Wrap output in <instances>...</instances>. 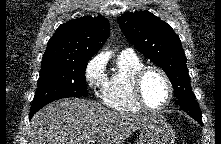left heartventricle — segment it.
<instances>
[{
	"label": "left heart ventricle",
	"mask_w": 221,
	"mask_h": 144,
	"mask_svg": "<svg viewBox=\"0 0 221 144\" xmlns=\"http://www.w3.org/2000/svg\"><path fill=\"white\" fill-rule=\"evenodd\" d=\"M143 95L146 103L153 108L163 105L168 97V87L157 72H150L143 82Z\"/></svg>",
	"instance_id": "left-heart-ventricle-1"
}]
</instances>
